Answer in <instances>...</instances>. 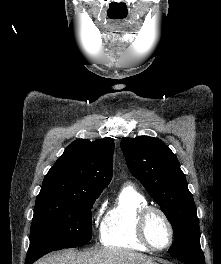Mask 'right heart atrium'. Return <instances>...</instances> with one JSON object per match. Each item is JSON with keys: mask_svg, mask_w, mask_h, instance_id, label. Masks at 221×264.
<instances>
[{"mask_svg": "<svg viewBox=\"0 0 221 264\" xmlns=\"http://www.w3.org/2000/svg\"><path fill=\"white\" fill-rule=\"evenodd\" d=\"M96 208H97V201H94L92 203V211H95Z\"/></svg>", "mask_w": 221, "mask_h": 264, "instance_id": "1", "label": "right heart atrium"}]
</instances>
